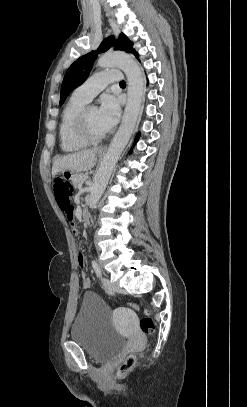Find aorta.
Listing matches in <instances>:
<instances>
[{"instance_id": "762f6f07", "label": "aorta", "mask_w": 247, "mask_h": 407, "mask_svg": "<svg viewBox=\"0 0 247 407\" xmlns=\"http://www.w3.org/2000/svg\"><path fill=\"white\" fill-rule=\"evenodd\" d=\"M97 64L102 68L119 67L124 71L128 80V97L121 125L94 176L89 197L90 208L95 207L100 200L118 158L134 131L144 94L142 71L131 55L124 52H108L99 58Z\"/></svg>"}]
</instances>
